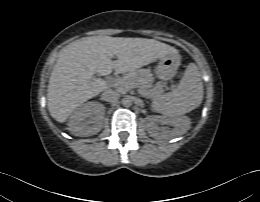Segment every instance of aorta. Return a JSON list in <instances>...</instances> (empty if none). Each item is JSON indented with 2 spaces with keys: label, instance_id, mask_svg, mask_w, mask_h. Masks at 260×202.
Returning a JSON list of instances; mask_svg holds the SVG:
<instances>
[{
  "label": "aorta",
  "instance_id": "1",
  "mask_svg": "<svg viewBox=\"0 0 260 202\" xmlns=\"http://www.w3.org/2000/svg\"><path fill=\"white\" fill-rule=\"evenodd\" d=\"M132 104V98L130 96H125L123 99H122V105L125 106V107H129L131 106Z\"/></svg>",
  "mask_w": 260,
  "mask_h": 202
}]
</instances>
